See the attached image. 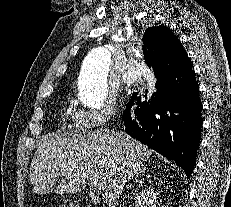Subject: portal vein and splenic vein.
<instances>
[{"mask_svg": "<svg viewBox=\"0 0 231 207\" xmlns=\"http://www.w3.org/2000/svg\"><path fill=\"white\" fill-rule=\"evenodd\" d=\"M92 186L98 188V189H101V183L100 182H97V181H93L92 182Z\"/></svg>", "mask_w": 231, "mask_h": 207, "instance_id": "portal-vein-and-splenic-vein-1", "label": "portal vein and splenic vein"}]
</instances>
